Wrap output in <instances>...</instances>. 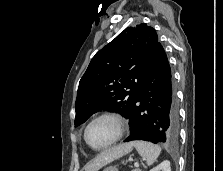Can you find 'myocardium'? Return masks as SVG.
<instances>
[{
	"label": "myocardium",
	"mask_w": 223,
	"mask_h": 171,
	"mask_svg": "<svg viewBox=\"0 0 223 171\" xmlns=\"http://www.w3.org/2000/svg\"><path fill=\"white\" fill-rule=\"evenodd\" d=\"M103 118H109V119H112L113 121H115L117 124V127H118V132H117V135L115 136V138L112 141H110L108 144H106L102 147H94L88 141L87 132H88L89 127L95 121H97L99 119H103ZM126 129H127V122H126V119L122 115H120L119 113H116V112H103V113H100V114L96 115L95 117H93L87 123V125L84 129L83 137H84L86 144L90 148H92L93 150H96V151H101V150L107 149V148L111 147L112 145H114L115 143H117L123 137L124 133L126 132Z\"/></svg>",
	"instance_id": "f54148a6"
}]
</instances>
